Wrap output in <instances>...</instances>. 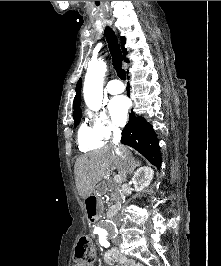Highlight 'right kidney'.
<instances>
[{"instance_id":"1","label":"right kidney","mask_w":221,"mask_h":266,"mask_svg":"<svg viewBox=\"0 0 221 266\" xmlns=\"http://www.w3.org/2000/svg\"><path fill=\"white\" fill-rule=\"evenodd\" d=\"M154 171L152 168L143 166L139 168L133 178L132 183L136 191H142L144 188L148 187L152 181Z\"/></svg>"}]
</instances>
